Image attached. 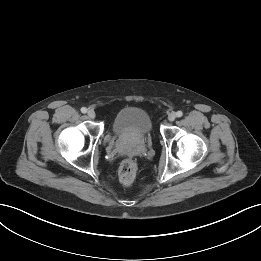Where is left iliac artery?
<instances>
[{
	"label": "left iliac artery",
	"mask_w": 261,
	"mask_h": 261,
	"mask_svg": "<svg viewBox=\"0 0 261 261\" xmlns=\"http://www.w3.org/2000/svg\"><path fill=\"white\" fill-rule=\"evenodd\" d=\"M182 115H183L182 111H177V112H176V116H177V117H182Z\"/></svg>",
	"instance_id": "44dca946"
}]
</instances>
